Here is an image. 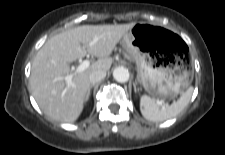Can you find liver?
Returning <instances> with one entry per match:
<instances>
[{"label": "liver", "mask_w": 225, "mask_h": 155, "mask_svg": "<svg viewBox=\"0 0 225 155\" xmlns=\"http://www.w3.org/2000/svg\"><path fill=\"white\" fill-rule=\"evenodd\" d=\"M134 25H83L48 39L37 52L30 75L32 95L43 113L60 122L76 121L90 88V74L110 69L113 49ZM86 55L98 57V60L74 75L68 84L64 77L70 73L69 63Z\"/></svg>", "instance_id": "liver-1"}]
</instances>
